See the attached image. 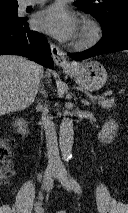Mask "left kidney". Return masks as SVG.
<instances>
[{
	"label": "left kidney",
	"mask_w": 128,
	"mask_h": 213,
	"mask_svg": "<svg viewBox=\"0 0 128 213\" xmlns=\"http://www.w3.org/2000/svg\"><path fill=\"white\" fill-rule=\"evenodd\" d=\"M117 124L114 120H110L109 122H106L104 126L102 127V130L98 134V139L105 143L112 142L117 129Z\"/></svg>",
	"instance_id": "left-kidney-1"
}]
</instances>
